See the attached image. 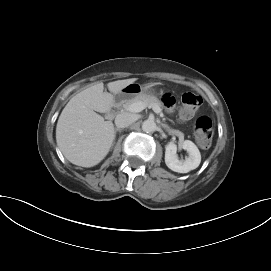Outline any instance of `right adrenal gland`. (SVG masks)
I'll list each match as a JSON object with an SVG mask.
<instances>
[{
  "mask_svg": "<svg viewBox=\"0 0 271 271\" xmlns=\"http://www.w3.org/2000/svg\"><path fill=\"white\" fill-rule=\"evenodd\" d=\"M121 131H122V129L116 128L115 129V135H116L117 132H121Z\"/></svg>",
  "mask_w": 271,
  "mask_h": 271,
  "instance_id": "right-adrenal-gland-1",
  "label": "right adrenal gland"
}]
</instances>
